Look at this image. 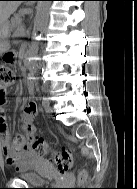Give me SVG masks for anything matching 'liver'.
<instances>
[{
  "label": "liver",
  "instance_id": "6515ba94",
  "mask_svg": "<svg viewBox=\"0 0 137 189\" xmlns=\"http://www.w3.org/2000/svg\"><path fill=\"white\" fill-rule=\"evenodd\" d=\"M21 1H0V28L7 23L8 18L13 14Z\"/></svg>",
  "mask_w": 137,
  "mask_h": 189
}]
</instances>
